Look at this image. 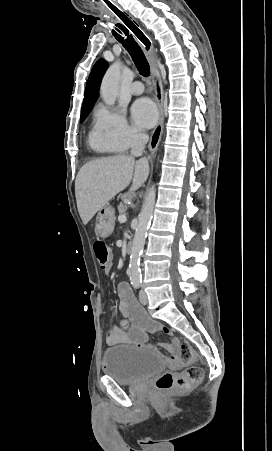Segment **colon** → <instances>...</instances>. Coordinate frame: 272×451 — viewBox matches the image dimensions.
<instances>
[{"label": "colon", "mask_w": 272, "mask_h": 451, "mask_svg": "<svg viewBox=\"0 0 272 451\" xmlns=\"http://www.w3.org/2000/svg\"><path fill=\"white\" fill-rule=\"evenodd\" d=\"M94 253L100 268H105L110 261V249L101 240L94 243ZM173 358L177 364L186 365L182 372H163L157 378L155 385L158 390L167 392L177 387H191L199 382L203 376L202 366L196 365V352L192 349L191 342H176Z\"/></svg>", "instance_id": "1"}]
</instances>
